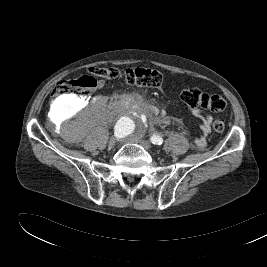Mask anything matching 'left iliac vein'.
Segmentation results:
<instances>
[{
	"label": "left iliac vein",
	"instance_id": "4c4485c4",
	"mask_svg": "<svg viewBox=\"0 0 267 267\" xmlns=\"http://www.w3.org/2000/svg\"><path fill=\"white\" fill-rule=\"evenodd\" d=\"M129 141L136 142V143L140 144L142 147H144L147 150L152 149V145H151V143L149 141H146V140L137 138L135 136H133L132 138H130Z\"/></svg>",
	"mask_w": 267,
	"mask_h": 267
}]
</instances>
